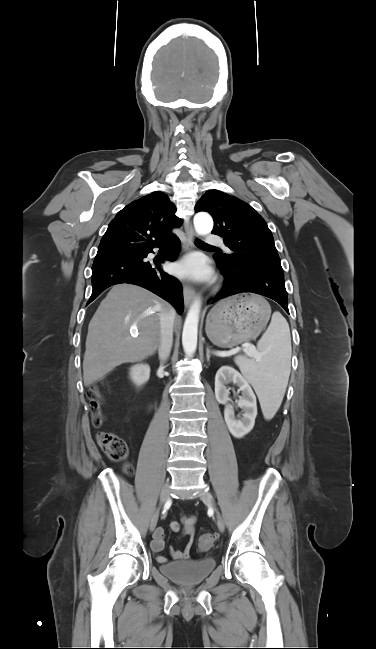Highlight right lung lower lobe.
Segmentation results:
<instances>
[{"mask_svg": "<svg viewBox=\"0 0 376 649\" xmlns=\"http://www.w3.org/2000/svg\"><path fill=\"white\" fill-rule=\"evenodd\" d=\"M167 249L164 260L146 261L153 248ZM180 250V240L173 237L155 244L140 252L126 255L117 254L95 258L92 266V295L88 304L96 299L106 288L120 283L141 286L171 303L179 314L183 312V293L179 281L164 272L160 264L165 260L173 261Z\"/></svg>", "mask_w": 376, "mask_h": 649, "instance_id": "right-lung-lower-lobe-1", "label": "right lung lower lobe"}]
</instances>
